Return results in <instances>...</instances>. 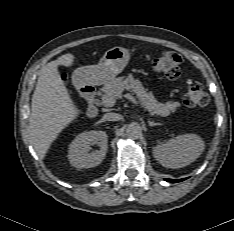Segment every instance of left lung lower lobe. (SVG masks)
<instances>
[{
    "label": "left lung lower lobe",
    "mask_w": 234,
    "mask_h": 231,
    "mask_svg": "<svg viewBox=\"0 0 234 231\" xmlns=\"http://www.w3.org/2000/svg\"><path fill=\"white\" fill-rule=\"evenodd\" d=\"M166 181H168V182H173V183H176V182H180V181H182V180H184V179H178V180H173V179H165Z\"/></svg>",
    "instance_id": "1"
}]
</instances>
